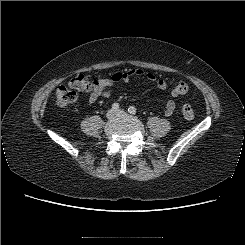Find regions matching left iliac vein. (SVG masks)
Returning a JSON list of instances; mask_svg holds the SVG:
<instances>
[{
	"label": "left iliac vein",
	"mask_w": 245,
	"mask_h": 245,
	"mask_svg": "<svg viewBox=\"0 0 245 245\" xmlns=\"http://www.w3.org/2000/svg\"><path fill=\"white\" fill-rule=\"evenodd\" d=\"M116 115H126V112L124 110H117L116 112Z\"/></svg>",
	"instance_id": "obj_1"
}]
</instances>
